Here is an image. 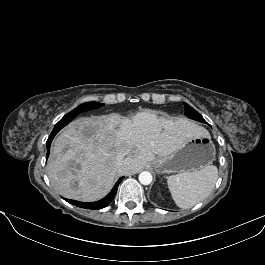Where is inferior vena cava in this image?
Wrapping results in <instances>:
<instances>
[{"mask_svg": "<svg viewBox=\"0 0 265 265\" xmlns=\"http://www.w3.org/2000/svg\"><path fill=\"white\" fill-rule=\"evenodd\" d=\"M123 158H124V156L121 155V154L117 156L118 167H121L122 166Z\"/></svg>", "mask_w": 265, "mask_h": 265, "instance_id": "inferior-vena-cava-1", "label": "inferior vena cava"}]
</instances>
